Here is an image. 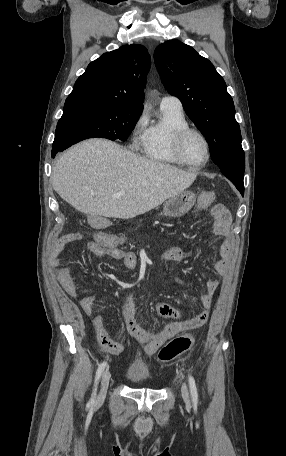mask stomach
<instances>
[{
    "instance_id": "stomach-1",
    "label": "stomach",
    "mask_w": 286,
    "mask_h": 456,
    "mask_svg": "<svg viewBox=\"0 0 286 456\" xmlns=\"http://www.w3.org/2000/svg\"><path fill=\"white\" fill-rule=\"evenodd\" d=\"M196 196L191 191H183L170 197L164 204L163 214L169 217H180L194 206Z\"/></svg>"
}]
</instances>
